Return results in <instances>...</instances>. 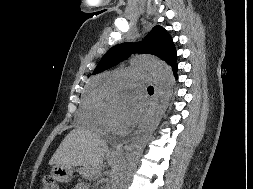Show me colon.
Returning a JSON list of instances; mask_svg holds the SVG:
<instances>
[{"label":"colon","mask_w":253,"mask_h":189,"mask_svg":"<svg viewBox=\"0 0 253 189\" xmlns=\"http://www.w3.org/2000/svg\"><path fill=\"white\" fill-rule=\"evenodd\" d=\"M41 189H60V186L53 177L46 176L43 179Z\"/></svg>","instance_id":"5ec220e1"}]
</instances>
